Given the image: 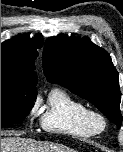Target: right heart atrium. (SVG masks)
<instances>
[{
	"mask_svg": "<svg viewBox=\"0 0 123 152\" xmlns=\"http://www.w3.org/2000/svg\"><path fill=\"white\" fill-rule=\"evenodd\" d=\"M37 109H38V102H34L31 107L29 108V111H28V118L30 120H32L34 118V116L36 115V112H37Z\"/></svg>",
	"mask_w": 123,
	"mask_h": 152,
	"instance_id": "d8ad5b80",
	"label": "right heart atrium"
}]
</instances>
